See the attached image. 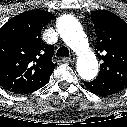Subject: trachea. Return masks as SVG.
<instances>
[{
  "instance_id": "trachea-1",
  "label": "trachea",
  "mask_w": 127,
  "mask_h": 127,
  "mask_svg": "<svg viewBox=\"0 0 127 127\" xmlns=\"http://www.w3.org/2000/svg\"><path fill=\"white\" fill-rule=\"evenodd\" d=\"M56 56H58V57H60V56L68 57L69 56V50H68V48H66L65 46L60 47L57 50Z\"/></svg>"
}]
</instances>
